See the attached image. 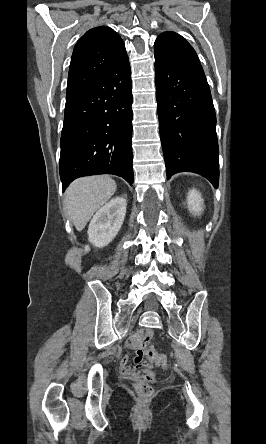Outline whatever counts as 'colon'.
<instances>
[{
  "label": "colon",
  "mask_w": 266,
  "mask_h": 444,
  "mask_svg": "<svg viewBox=\"0 0 266 444\" xmlns=\"http://www.w3.org/2000/svg\"><path fill=\"white\" fill-rule=\"evenodd\" d=\"M146 363L153 365V366H162L167 367L168 366V359L165 355L159 354L155 352L152 348H149L146 351ZM137 393L141 397H149L153 389L151 385L148 382L140 381L135 385Z\"/></svg>",
  "instance_id": "1"
}]
</instances>
